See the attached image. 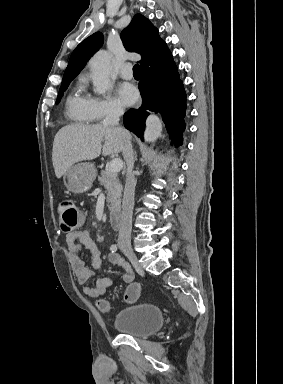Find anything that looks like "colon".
Listing matches in <instances>:
<instances>
[{
	"label": "colon",
	"instance_id": "1",
	"mask_svg": "<svg viewBox=\"0 0 283 384\" xmlns=\"http://www.w3.org/2000/svg\"><path fill=\"white\" fill-rule=\"evenodd\" d=\"M58 215L60 217L61 229L70 233L79 229L84 224V215L76 206L75 202L71 199H64L60 201L57 207ZM140 294V286L131 284L125 292V300L127 302H134ZM98 309L103 313H108L111 310V305L106 299H100L97 303Z\"/></svg>",
	"mask_w": 283,
	"mask_h": 384
}]
</instances>
